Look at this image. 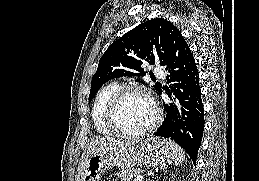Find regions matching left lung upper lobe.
<instances>
[{"instance_id": "left-lung-upper-lobe-1", "label": "left lung upper lobe", "mask_w": 259, "mask_h": 181, "mask_svg": "<svg viewBox=\"0 0 259 181\" xmlns=\"http://www.w3.org/2000/svg\"><path fill=\"white\" fill-rule=\"evenodd\" d=\"M181 32L163 18L148 20L113 42L100 58L92 77L89 101L107 81L123 76H144L143 63L165 66L170 50ZM138 72V73H136ZM157 91L160 83L153 86Z\"/></svg>"}]
</instances>
